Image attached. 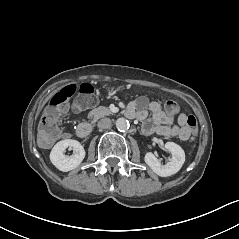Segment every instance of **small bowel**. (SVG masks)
I'll return each instance as SVG.
<instances>
[{"mask_svg":"<svg viewBox=\"0 0 239 239\" xmlns=\"http://www.w3.org/2000/svg\"><path fill=\"white\" fill-rule=\"evenodd\" d=\"M127 115L143 122L142 129L146 135L158 134L165 137H177L181 140H187L191 135L186 114H179L177 123L174 124L175 116L168 115L159 103L150 102L146 97L134 100L127 109Z\"/></svg>","mask_w":239,"mask_h":239,"instance_id":"small-bowel-1","label":"small bowel"}]
</instances>
